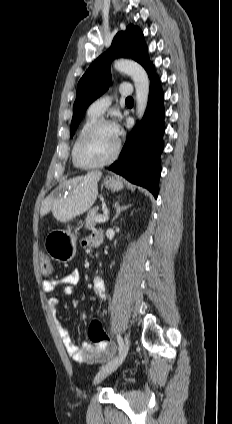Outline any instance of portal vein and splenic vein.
Returning <instances> with one entry per match:
<instances>
[{
  "instance_id": "portal-vein-and-splenic-vein-1",
  "label": "portal vein and splenic vein",
  "mask_w": 232,
  "mask_h": 424,
  "mask_svg": "<svg viewBox=\"0 0 232 424\" xmlns=\"http://www.w3.org/2000/svg\"><path fill=\"white\" fill-rule=\"evenodd\" d=\"M108 219H109L108 212H106L103 216H97L95 218V221L99 223H103V222H106Z\"/></svg>"
}]
</instances>
